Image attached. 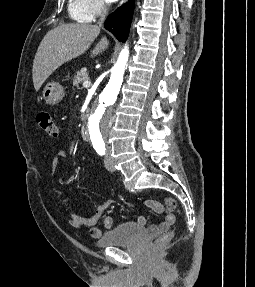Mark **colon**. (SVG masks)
<instances>
[{
	"label": "colon",
	"mask_w": 255,
	"mask_h": 287,
	"mask_svg": "<svg viewBox=\"0 0 255 287\" xmlns=\"http://www.w3.org/2000/svg\"><path fill=\"white\" fill-rule=\"evenodd\" d=\"M36 122L39 127L49 136L58 135V126L54 122L51 114L47 111H40L36 116ZM174 236V231H168L162 234L155 242L156 247L161 248L166 245Z\"/></svg>",
	"instance_id": "obj_1"
}]
</instances>
